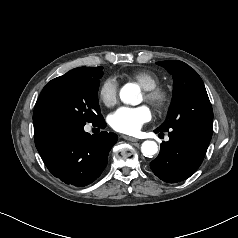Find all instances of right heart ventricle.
<instances>
[{"label":"right heart ventricle","instance_id":"e07e8e85","mask_svg":"<svg viewBox=\"0 0 238 238\" xmlns=\"http://www.w3.org/2000/svg\"><path fill=\"white\" fill-rule=\"evenodd\" d=\"M128 77L137 82L144 90L157 87L160 83L156 73L145 69L134 71Z\"/></svg>","mask_w":238,"mask_h":238}]
</instances>
